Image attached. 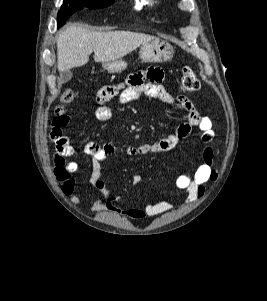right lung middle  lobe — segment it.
<instances>
[{
	"instance_id": "obj_1",
	"label": "right lung middle lobe",
	"mask_w": 267,
	"mask_h": 301,
	"mask_svg": "<svg viewBox=\"0 0 267 301\" xmlns=\"http://www.w3.org/2000/svg\"><path fill=\"white\" fill-rule=\"evenodd\" d=\"M114 0H64L60 11L57 16L58 26H62L65 21L71 16L76 10L87 8H102L108 6Z\"/></svg>"
}]
</instances>
